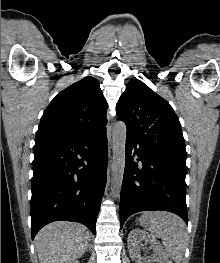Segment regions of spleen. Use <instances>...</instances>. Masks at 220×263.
<instances>
[{"mask_svg":"<svg viewBox=\"0 0 220 263\" xmlns=\"http://www.w3.org/2000/svg\"><path fill=\"white\" fill-rule=\"evenodd\" d=\"M141 225L163 241L166 254L175 263L183 259L188 234L186 224L177 215L164 212H145L139 219Z\"/></svg>","mask_w":220,"mask_h":263,"instance_id":"spleen-1","label":"spleen"}]
</instances>
